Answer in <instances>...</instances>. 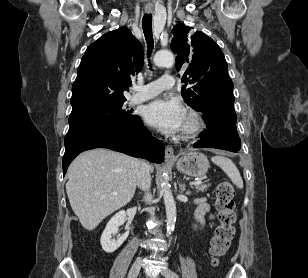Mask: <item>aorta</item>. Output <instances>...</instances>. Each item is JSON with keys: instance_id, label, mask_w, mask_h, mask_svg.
<instances>
[{"instance_id": "aorta-1", "label": "aorta", "mask_w": 308, "mask_h": 278, "mask_svg": "<svg viewBox=\"0 0 308 278\" xmlns=\"http://www.w3.org/2000/svg\"><path fill=\"white\" fill-rule=\"evenodd\" d=\"M154 63L159 67L170 66L174 63V56L170 51H158L154 57ZM167 218V235L174 230L176 222V204L167 182L161 185Z\"/></svg>"}]
</instances>
